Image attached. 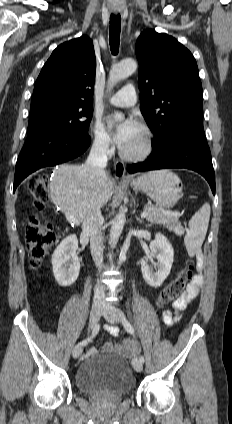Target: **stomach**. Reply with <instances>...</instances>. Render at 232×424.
Listing matches in <instances>:
<instances>
[{
	"mask_svg": "<svg viewBox=\"0 0 232 424\" xmlns=\"http://www.w3.org/2000/svg\"><path fill=\"white\" fill-rule=\"evenodd\" d=\"M135 190L145 193L161 210L173 207L182 196L180 178L170 170H156L129 181Z\"/></svg>",
	"mask_w": 232,
	"mask_h": 424,
	"instance_id": "obj_1",
	"label": "stomach"
}]
</instances>
